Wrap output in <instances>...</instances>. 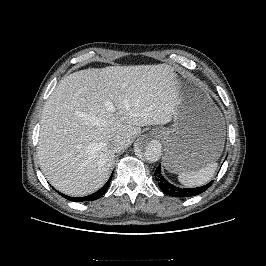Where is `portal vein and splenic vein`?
<instances>
[{
  "label": "portal vein and splenic vein",
  "instance_id": "portal-vein-and-splenic-vein-1",
  "mask_svg": "<svg viewBox=\"0 0 266 266\" xmlns=\"http://www.w3.org/2000/svg\"><path fill=\"white\" fill-rule=\"evenodd\" d=\"M106 106L109 107V109H113L114 108L113 105L111 103H109V102L106 104Z\"/></svg>",
  "mask_w": 266,
  "mask_h": 266
}]
</instances>
